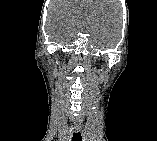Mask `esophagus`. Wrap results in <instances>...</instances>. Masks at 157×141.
Here are the masks:
<instances>
[{"instance_id": "obj_1", "label": "esophagus", "mask_w": 157, "mask_h": 141, "mask_svg": "<svg viewBox=\"0 0 157 141\" xmlns=\"http://www.w3.org/2000/svg\"><path fill=\"white\" fill-rule=\"evenodd\" d=\"M74 129L76 132H79L81 130V128L79 126H75Z\"/></svg>"}]
</instances>
